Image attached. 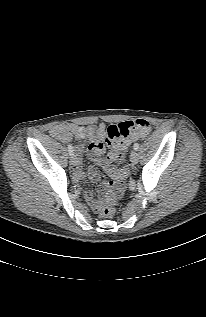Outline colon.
<instances>
[{
	"label": "colon",
	"mask_w": 206,
	"mask_h": 317,
	"mask_svg": "<svg viewBox=\"0 0 206 317\" xmlns=\"http://www.w3.org/2000/svg\"><path fill=\"white\" fill-rule=\"evenodd\" d=\"M151 130L150 123L145 119H136L120 122L115 125H111L107 131V143L113 148L114 156L110 157L114 161H122L124 159L123 151L128 144L135 139L146 137ZM108 173L110 174L113 187V195L119 196L124 188V179L127 175L126 168H116L111 165L108 166ZM99 213L102 216L109 217L114 213V207L111 203L107 202L103 205H99Z\"/></svg>",
	"instance_id": "1"
}]
</instances>
